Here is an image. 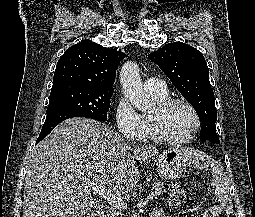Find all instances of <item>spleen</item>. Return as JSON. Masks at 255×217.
Here are the masks:
<instances>
[{
	"label": "spleen",
	"mask_w": 255,
	"mask_h": 217,
	"mask_svg": "<svg viewBox=\"0 0 255 217\" xmlns=\"http://www.w3.org/2000/svg\"><path fill=\"white\" fill-rule=\"evenodd\" d=\"M199 158L204 163V166H205L206 158L204 156H201V155L199 156ZM213 170H214V173H216L218 171V168L214 167Z\"/></svg>",
	"instance_id": "3e777b00"
}]
</instances>
